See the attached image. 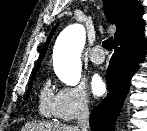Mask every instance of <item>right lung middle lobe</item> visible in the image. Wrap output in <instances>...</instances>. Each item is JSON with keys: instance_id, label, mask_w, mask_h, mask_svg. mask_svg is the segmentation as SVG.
<instances>
[{"instance_id": "right-lung-middle-lobe-1", "label": "right lung middle lobe", "mask_w": 147, "mask_h": 131, "mask_svg": "<svg viewBox=\"0 0 147 131\" xmlns=\"http://www.w3.org/2000/svg\"><path fill=\"white\" fill-rule=\"evenodd\" d=\"M36 72L37 71H34L32 73V78H31L32 80L34 79V76H35ZM31 87H32V82L29 83V87H28V91H27V94H26V98H27L28 94L30 93Z\"/></svg>"}]
</instances>
